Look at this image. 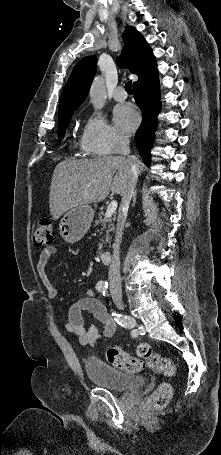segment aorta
Wrapping results in <instances>:
<instances>
[{"label": "aorta", "mask_w": 221, "mask_h": 455, "mask_svg": "<svg viewBox=\"0 0 221 455\" xmlns=\"http://www.w3.org/2000/svg\"><path fill=\"white\" fill-rule=\"evenodd\" d=\"M91 103L94 108L102 109L106 101V87L102 76H96L89 92Z\"/></svg>", "instance_id": "obj_1"}]
</instances>
